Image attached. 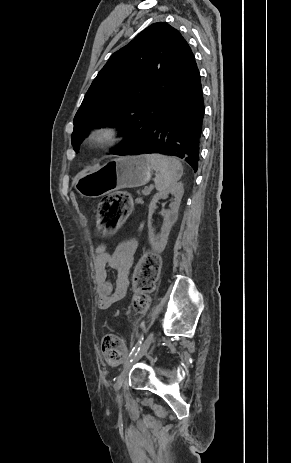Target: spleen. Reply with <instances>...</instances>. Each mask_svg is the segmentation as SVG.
Returning <instances> with one entry per match:
<instances>
[{"label":"spleen","instance_id":"spleen-1","mask_svg":"<svg viewBox=\"0 0 291 463\" xmlns=\"http://www.w3.org/2000/svg\"><path fill=\"white\" fill-rule=\"evenodd\" d=\"M145 157L156 171L154 181L158 191L170 188L182 177L183 167L177 159L159 154H147Z\"/></svg>","mask_w":291,"mask_h":463}]
</instances>
